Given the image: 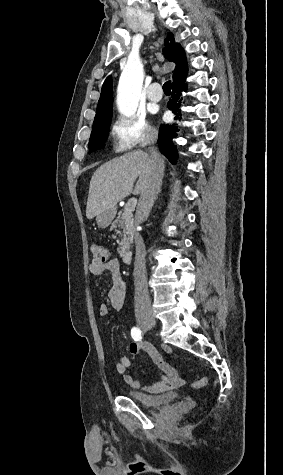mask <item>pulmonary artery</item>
Segmentation results:
<instances>
[{"label":"pulmonary artery","instance_id":"pulmonary-artery-1","mask_svg":"<svg viewBox=\"0 0 283 475\" xmlns=\"http://www.w3.org/2000/svg\"><path fill=\"white\" fill-rule=\"evenodd\" d=\"M151 89L147 92L146 97L152 102H158L161 100V95L163 94V89L158 82L151 84ZM119 90H142V89H119Z\"/></svg>","mask_w":283,"mask_h":475}]
</instances>
